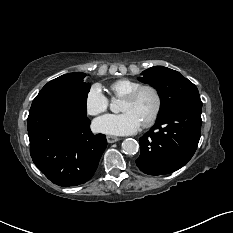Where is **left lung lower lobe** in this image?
<instances>
[{
  "mask_svg": "<svg viewBox=\"0 0 233 233\" xmlns=\"http://www.w3.org/2000/svg\"><path fill=\"white\" fill-rule=\"evenodd\" d=\"M202 107L175 109L159 116L151 130L140 138L136 165L149 175L172 173L193 156L201 134Z\"/></svg>",
  "mask_w": 233,
  "mask_h": 233,
  "instance_id": "0a47b994",
  "label": "left lung lower lobe"
}]
</instances>
